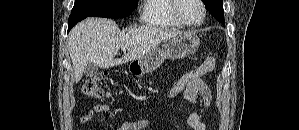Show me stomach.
<instances>
[{"label":"stomach","mask_w":299,"mask_h":130,"mask_svg":"<svg viewBox=\"0 0 299 130\" xmlns=\"http://www.w3.org/2000/svg\"><path fill=\"white\" fill-rule=\"evenodd\" d=\"M200 44L199 37L186 32L170 39L162 49L156 48L138 60L131 61L129 71L132 74H144L156 70L165 59H181L194 54Z\"/></svg>","instance_id":"obj_1"}]
</instances>
